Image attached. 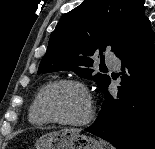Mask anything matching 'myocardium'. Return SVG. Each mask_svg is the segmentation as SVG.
<instances>
[{"instance_id": "1", "label": "myocardium", "mask_w": 155, "mask_h": 149, "mask_svg": "<svg viewBox=\"0 0 155 149\" xmlns=\"http://www.w3.org/2000/svg\"><path fill=\"white\" fill-rule=\"evenodd\" d=\"M57 85H73V86L78 87L82 91V93L84 94V96L86 98V102H87V113L81 120L66 121V120H62V119L55 117L54 115H52L49 112V110L47 109L46 104H45V97H46V94L48 93V91L52 87L57 86ZM38 110L41 113V115L47 121H49L51 123L58 124V125H63V126H83V125H86L93 119L94 114H95L94 104H93V101H92L88 87L81 80L73 79V78H60V79H56V80L48 82L42 88V90L39 94Z\"/></svg>"}]
</instances>
